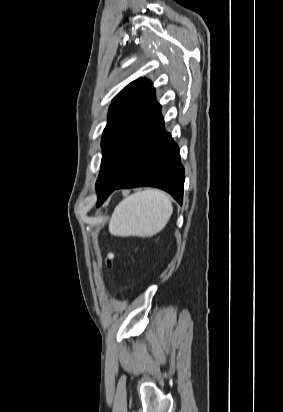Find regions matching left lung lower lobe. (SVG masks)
<instances>
[{
  "label": "left lung lower lobe",
  "mask_w": 283,
  "mask_h": 412,
  "mask_svg": "<svg viewBox=\"0 0 283 412\" xmlns=\"http://www.w3.org/2000/svg\"><path fill=\"white\" fill-rule=\"evenodd\" d=\"M130 161L103 155L98 176L100 191L97 206L119 188L151 186L170 193L181 205L183 201L184 168L178 145L165 131L162 120L154 130L150 145L138 165L127 173Z\"/></svg>",
  "instance_id": "obj_1"
}]
</instances>
